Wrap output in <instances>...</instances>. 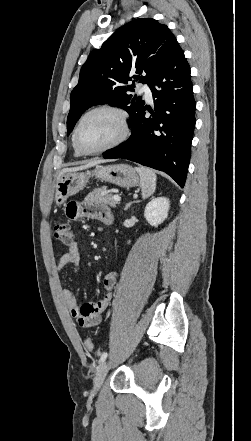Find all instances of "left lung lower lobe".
Listing matches in <instances>:
<instances>
[{
	"label": "left lung lower lobe",
	"mask_w": 251,
	"mask_h": 441,
	"mask_svg": "<svg viewBox=\"0 0 251 441\" xmlns=\"http://www.w3.org/2000/svg\"><path fill=\"white\" fill-rule=\"evenodd\" d=\"M154 111L143 105L129 126L132 134L103 158H124L170 175L184 186L195 128L196 102L190 67L177 44L164 66L148 83ZM146 110L152 116L145 117Z\"/></svg>",
	"instance_id": "left-lung-lower-lobe-1"
}]
</instances>
